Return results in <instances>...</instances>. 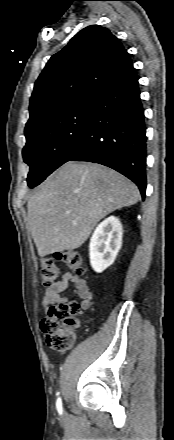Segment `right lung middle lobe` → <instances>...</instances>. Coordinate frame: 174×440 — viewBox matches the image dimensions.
<instances>
[{
  "label": "right lung middle lobe",
  "instance_id": "1",
  "mask_svg": "<svg viewBox=\"0 0 174 440\" xmlns=\"http://www.w3.org/2000/svg\"><path fill=\"white\" fill-rule=\"evenodd\" d=\"M93 106L94 96L89 94L25 128L27 143L23 159L30 166L27 178L30 188L64 164L77 148L88 127Z\"/></svg>",
  "mask_w": 174,
  "mask_h": 440
}]
</instances>
